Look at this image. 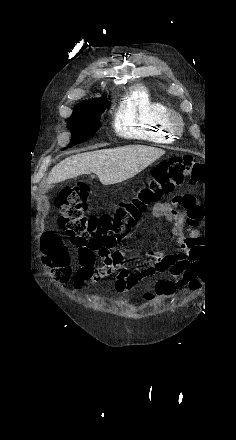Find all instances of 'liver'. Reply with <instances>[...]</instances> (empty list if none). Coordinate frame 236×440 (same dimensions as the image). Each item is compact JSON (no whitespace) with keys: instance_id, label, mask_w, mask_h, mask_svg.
<instances>
[{"instance_id":"liver-1","label":"liver","mask_w":236,"mask_h":440,"mask_svg":"<svg viewBox=\"0 0 236 440\" xmlns=\"http://www.w3.org/2000/svg\"><path fill=\"white\" fill-rule=\"evenodd\" d=\"M164 153L162 149L143 145L79 153L55 165L47 183L55 184L90 173H95L103 185L120 183L143 171Z\"/></svg>"}]
</instances>
